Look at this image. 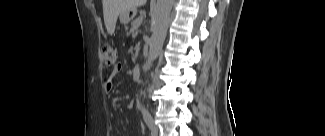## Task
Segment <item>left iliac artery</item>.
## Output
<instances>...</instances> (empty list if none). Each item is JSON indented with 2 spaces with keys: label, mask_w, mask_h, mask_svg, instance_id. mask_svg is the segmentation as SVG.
I'll return each mask as SVG.
<instances>
[{
  "label": "left iliac artery",
  "mask_w": 325,
  "mask_h": 136,
  "mask_svg": "<svg viewBox=\"0 0 325 136\" xmlns=\"http://www.w3.org/2000/svg\"><path fill=\"white\" fill-rule=\"evenodd\" d=\"M143 119L146 122L147 126L151 129L153 127L154 121L148 111L143 112Z\"/></svg>",
  "instance_id": "44dca946"
}]
</instances>
